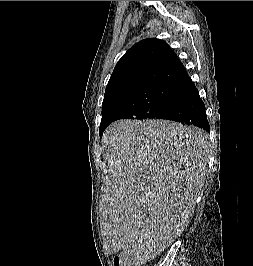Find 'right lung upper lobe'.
<instances>
[{"label":"right lung upper lobe","mask_w":253,"mask_h":266,"mask_svg":"<svg viewBox=\"0 0 253 266\" xmlns=\"http://www.w3.org/2000/svg\"><path fill=\"white\" fill-rule=\"evenodd\" d=\"M185 75L186 69L165 41L144 39L132 46L116 64L103 104L129 91L155 84H174Z\"/></svg>","instance_id":"1"}]
</instances>
